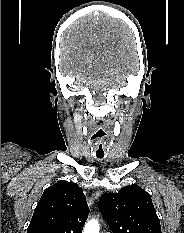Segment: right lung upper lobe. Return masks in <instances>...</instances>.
I'll return each mask as SVG.
<instances>
[{
  "label": "right lung upper lobe",
  "mask_w": 184,
  "mask_h": 233,
  "mask_svg": "<svg viewBox=\"0 0 184 233\" xmlns=\"http://www.w3.org/2000/svg\"><path fill=\"white\" fill-rule=\"evenodd\" d=\"M88 214L82 189L76 183L59 181L44 191L27 233H82Z\"/></svg>",
  "instance_id": "1"
}]
</instances>
